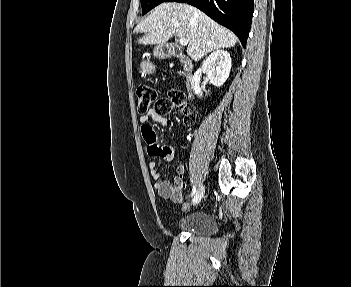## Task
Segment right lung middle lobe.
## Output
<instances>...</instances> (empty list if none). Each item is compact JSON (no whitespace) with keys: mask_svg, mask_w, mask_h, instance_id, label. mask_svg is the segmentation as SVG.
Wrapping results in <instances>:
<instances>
[{"mask_svg":"<svg viewBox=\"0 0 351 287\" xmlns=\"http://www.w3.org/2000/svg\"><path fill=\"white\" fill-rule=\"evenodd\" d=\"M165 2V0H141L142 15L156 7L157 5Z\"/></svg>","mask_w":351,"mask_h":287,"instance_id":"obj_1","label":"right lung middle lobe"}]
</instances>
